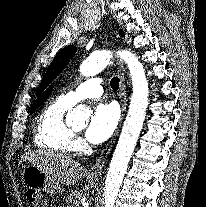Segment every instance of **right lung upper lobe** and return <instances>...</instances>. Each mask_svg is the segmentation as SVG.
I'll return each mask as SVG.
<instances>
[{
	"instance_id": "right-lung-upper-lobe-1",
	"label": "right lung upper lobe",
	"mask_w": 206,
	"mask_h": 207,
	"mask_svg": "<svg viewBox=\"0 0 206 207\" xmlns=\"http://www.w3.org/2000/svg\"><path fill=\"white\" fill-rule=\"evenodd\" d=\"M52 88H53V85L34 102L31 109L37 108L40 105H42L44 103V101L47 99V97L50 95Z\"/></svg>"
}]
</instances>
